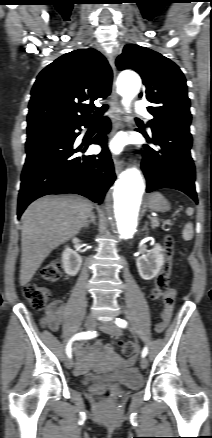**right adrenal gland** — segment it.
<instances>
[{
	"mask_svg": "<svg viewBox=\"0 0 212 438\" xmlns=\"http://www.w3.org/2000/svg\"><path fill=\"white\" fill-rule=\"evenodd\" d=\"M91 223H93L94 225L96 224V216L94 212H91L90 219L86 222L84 227L88 228Z\"/></svg>",
	"mask_w": 212,
	"mask_h": 438,
	"instance_id": "right-adrenal-gland-1",
	"label": "right adrenal gland"
}]
</instances>
